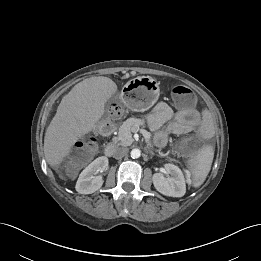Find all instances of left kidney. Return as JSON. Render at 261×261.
<instances>
[{"label":"left kidney","mask_w":261,"mask_h":261,"mask_svg":"<svg viewBox=\"0 0 261 261\" xmlns=\"http://www.w3.org/2000/svg\"><path fill=\"white\" fill-rule=\"evenodd\" d=\"M165 173H155L152 177L154 187L163 195L182 197L186 193L185 178L181 169L174 164H165Z\"/></svg>","instance_id":"obj_1"}]
</instances>
